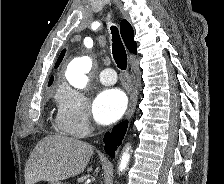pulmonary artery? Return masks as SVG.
Listing matches in <instances>:
<instances>
[{
    "label": "pulmonary artery",
    "instance_id": "e3ab8cb5",
    "mask_svg": "<svg viewBox=\"0 0 224 184\" xmlns=\"http://www.w3.org/2000/svg\"><path fill=\"white\" fill-rule=\"evenodd\" d=\"M99 80L103 85H113L117 81V75L112 68H106L100 72Z\"/></svg>",
    "mask_w": 224,
    "mask_h": 184
}]
</instances>
